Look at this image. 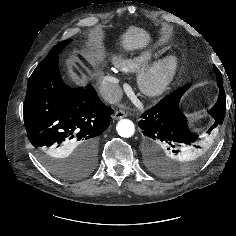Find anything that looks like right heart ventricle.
I'll list each match as a JSON object with an SVG mask.
<instances>
[{"mask_svg": "<svg viewBox=\"0 0 236 236\" xmlns=\"http://www.w3.org/2000/svg\"><path fill=\"white\" fill-rule=\"evenodd\" d=\"M156 55L153 50H141L139 52L116 56L113 60L116 67L124 71H135L147 65Z\"/></svg>", "mask_w": 236, "mask_h": 236, "instance_id": "1", "label": "right heart ventricle"}]
</instances>
